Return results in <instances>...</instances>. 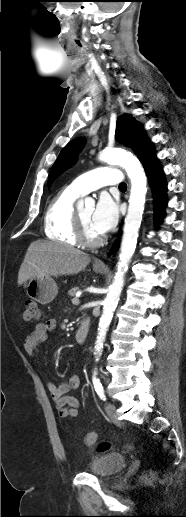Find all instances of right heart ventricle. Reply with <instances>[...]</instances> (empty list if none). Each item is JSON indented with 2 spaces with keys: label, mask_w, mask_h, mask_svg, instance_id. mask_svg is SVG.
<instances>
[{
  "label": "right heart ventricle",
  "mask_w": 186,
  "mask_h": 517,
  "mask_svg": "<svg viewBox=\"0 0 186 517\" xmlns=\"http://www.w3.org/2000/svg\"><path fill=\"white\" fill-rule=\"evenodd\" d=\"M79 196L81 194L66 186L52 198L44 217V230L49 239L69 246L78 245L74 202Z\"/></svg>",
  "instance_id": "1"
}]
</instances>
